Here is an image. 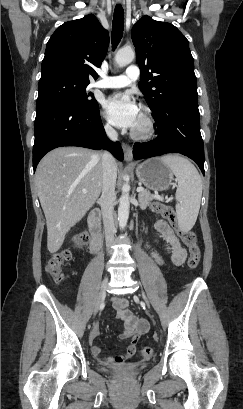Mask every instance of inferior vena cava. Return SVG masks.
<instances>
[{
    "label": "inferior vena cava",
    "instance_id": "1",
    "mask_svg": "<svg viewBox=\"0 0 243 409\" xmlns=\"http://www.w3.org/2000/svg\"><path fill=\"white\" fill-rule=\"evenodd\" d=\"M105 131L109 139L112 141H117L116 130L109 126H105ZM102 166H103V182H102V194L99 199L103 224L105 230L106 246L110 253V246L114 240V235L116 233L115 223L113 218L114 213V202L116 199L115 185L117 178L116 161L114 157L107 151L102 154Z\"/></svg>",
    "mask_w": 243,
    "mask_h": 409
}]
</instances>
